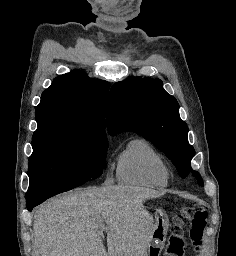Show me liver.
<instances>
[{
	"instance_id": "obj_1",
	"label": "liver",
	"mask_w": 236,
	"mask_h": 256,
	"mask_svg": "<svg viewBox=\"0 0 236 256\" xmlns=\"http://www.w3.org/2000/svg\"><path fill=\"white\" fill-rule=\"evenodd\" d=\"M158 196L163 192L103 186L52 198L36 208L34 246L40 256H146L149 220L142 202Z\"/></svg>"
}]
</instances>
